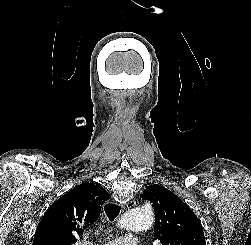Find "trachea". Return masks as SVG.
I'll return each instance as SVG.
<instances>
[{"label": "trachea", "mask_w": 251, "mask_h": 245, "mask_svg": "<svg viewBox=\"0 0 251 245\" xmlns=\"http://www.w3.org/2000/svg\"><path fill=\"white\" fill-rule=\"evenodd\" d=\"M104 209L109 220L113 221L119 215L121 207L114 203H107Z\"/></svg>", "instance_id": "trachea-1"}]
</instances>
